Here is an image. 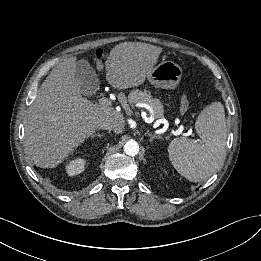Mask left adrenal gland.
Wrapping results in <instances>:
<instances>
[{
  "label": "left adrenal gland",
  "instance_id": "1",
  "mask_svg": "<svg viewBox=\"0 0 261 261\" xmlns=\"http://www.w3.org/2000/svg\"><path fill=\"white\" fill-rule=\"evenodd\" d=\"M145 135L148 136V137H150L149 140H150L151 143H153V140H154L155 138H157V139H162L161 136H158V135H155V134H152V133H149V132H147Z\"/></svg>",
  "mask_w": 261,
  "mask_h": 261
}]
</instances>
